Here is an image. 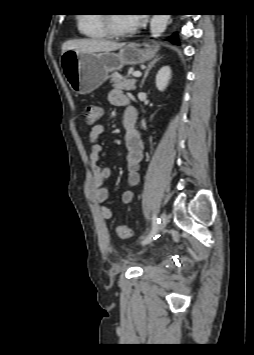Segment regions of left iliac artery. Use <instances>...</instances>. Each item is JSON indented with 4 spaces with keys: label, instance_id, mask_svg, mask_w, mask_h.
Returning <instances> with one entry per match:
<instances>
[{
    "label": "left iliac artery",
    "instance_id": "44dca946",
    "mask_svg": "<svg viewBox=\"0 0 254 355\" xmlns=\"http://www.w3.org/2000/svg\"><path fill=\"white\" fill-rule=\"evenodd\" d=\"M161 222V218H158L155 214L152 217V229L150 231V233L143 238V240L141 241V243L143 245L151 243L153 240L157 239L158 235V224H160Z\"/></svg>",
    "mask_w": 254,
    "mask_h": 355
}]
</instances>
